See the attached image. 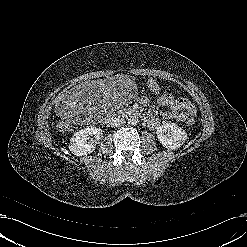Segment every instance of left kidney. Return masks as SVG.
Here are the masks:
<instances>
[{"mask_svg":"<svg viewBox=\"0 0 247 247\" xmlns=\"http://www.w3.org/2000/svg\"><path fill=\"white\" fill-rule=\"evenodd\" d=\"M157 137L167 149H178L187 140V133L175 123H164L157 127Z\"/></svg>","mask_w":247,"mask_h":247,"instance_id":"1","label":"left kidney"}]
</instances>
